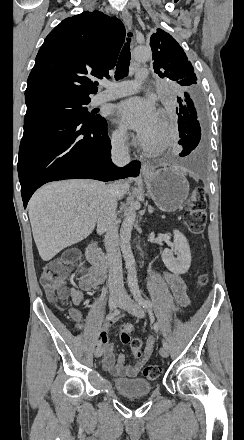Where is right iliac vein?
<instances>
[{
  "mask_svg": "<svg viewBox=\"0 0 244 440\" xmlns=\"http://www.w3.org/2000/svg\"><path fill=\"white\" fill-rule=\"evenodd\" d=\"M121 304V299L116 295L109 296V307L111 310L115 309L118 305ZM104 351L103 346H98L94 352L95 357L99 358L102 356Z\"/></svg>",
  "mask_w": 244,
  "mask_h": 440,
  "instance_id": "63e3f726",
  "label": "right iliac vein"
}]
</instances>
